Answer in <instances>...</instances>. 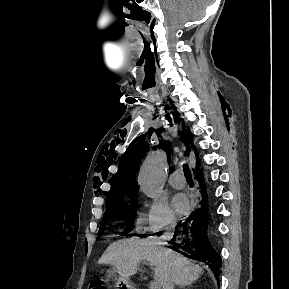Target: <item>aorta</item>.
I'll return each instance as SVG.
<instances>
[{"instance_id": "obj_1", "label": "aorta", "mask_w": 289, "mask_h": 289, "mask_svg": "<svg viewBox=\"0 0 289 289\" xmlns=\"http://www.w3.org/2000/svg\"><path fill=\"white\" fill-rule=\"evenodd\" d=\"M166 168V154L162 150L153 152L144 160L140 168L138 184L145 195L151 198H158L161 195Z\"/></svg>"}]
</instances>
